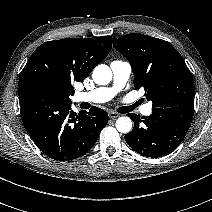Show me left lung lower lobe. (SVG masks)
Instances as JSON below:
<instances>
[{
    "mask_svg": "<svg viewBox=\"0 0 212 212\" xmlns=\"http://www.w3.org/2000/svg\"><path fill=\"white\" fill-rule=\"evenodd\" d=\"M194 106L177 105L152 108V114L140 117L128 114L133 130L125 135L128 145L137 153L158 158L173 152L184 139L191 125Z\"/></svg>",
    "mask_w": 212,
    "mask_h": 212,
    "instance_id": "1",
    "label": "left lung lower lobe"
}]
</instances>
